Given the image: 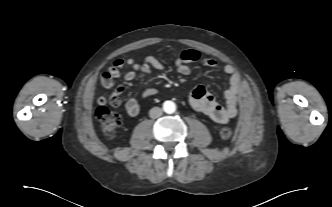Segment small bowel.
<instances>
[{
    "instance_id": "1",
    "label": "small bowel",
    "mask_w": 332,
    "mask_h": 207,
    "mask_svg": "<svg viewBox=\"0 0 332 207\" xmlns=\"http://www.w3.org/2000/svg\"><path fill=\"white\" fill-rule=\"evenodd\" d=\"M163 57L164 54L162 52H157L156 54L145 56L142 63H136L133 59H118L114 62L113 66L102 74L101 83L106 88L113 87L115 80L120 76V70L124 67L130 68L124 76L127 81L135 80L140 72L144 74L150 73L152 68L164 70L165 65L162 61ZM193 62H200L202 65L212 68L218 65L216 60L203 58L198 51L188 49L183 51L177 58V71L181 75H189L191 72L189 63ZM223 72L227 75L229 80V88L225 92V105L216 102L208 89L202 85L195 86L189 91L192 107L219 124L227 123L237 115V105L241 87L240 76L233 66L225 65ZM123 91V87H118L115 92L121 96ZM156 92L157 90L155 88H149L144 91L143 97L149 98L156 94ZM125 109L130 116H137L140 111L137 100L133 98L127 100Z\"/></svg>"
}]
</instances>
